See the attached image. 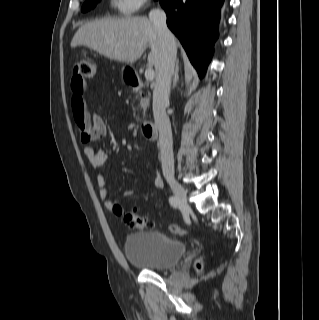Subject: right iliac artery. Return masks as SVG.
<instances>
[{
  "instance_id": "obj_1",
  "label": "right iliac artery",
  "mask_w": 319,
  "mask_h": 320,
  "mask_svg": "<svg viewBox=\"0 0 319 320\" xmlns=\"http://www.w3.org/2000/svg\"><path fill=\"white\" fill-rule=\"evenodd\" d=\"M169 203H170L171 206H173L175 208H177L180 205L179 200L175 196H171L169 198Z\"/></svg>"
}]
</instances>
